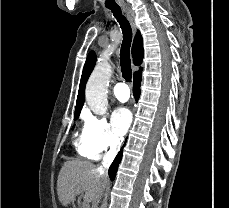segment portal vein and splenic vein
Wrapping results in <instances>:
<instances>
[{
	"instance_id": "obj_1",
	"label": "portal vein and splenic vein",
	"mask_w": 229,
	"mask_h": 208,
	"mask_svg": "<svg viewBox=\"0 0 229 208\" xmlns=\"http://www.w3.org/2000/svg\"><path fill=\"white\" fill-rule=\"evenodd\" d=\"M84 208H89V206H87V204H85Z\"/></svg>"
}]
</instances>
